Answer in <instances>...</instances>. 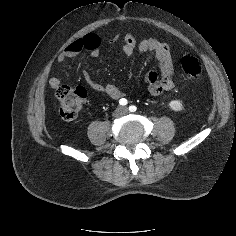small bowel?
<instances>
[{"label":"small bowel","mask_w":236,"mask_h":236,"mask_svg":"<svg viewBox=\"0 0 236 236\" xmlns=\"http://www.w3.org/2000/svg\"><path fill=\"white\" fill-rule=\"evenodd\" d=\"M115 38H111L113 42ZM101 37L94 32L85 34L73 40L66 49L59 55L58 61L63 62L66 59L77 57L83 51L90 52L91 56L98 57L100 53ZM122 51L127 56L136 53L151 52L156 59V68L149 71L145 77V84L149 94L159 96L165 91L174 88L175 66L172 58L170 44L167 41L154 38H146L138 43L132 34H126L122 43ZM83 78L90 89L96 92L105 93L112 99H120L124 93L114 84H102L94 79L88 71L83 73ZM49 85L57 90L61 85V80L57 75H52L49 79Z\"/></svg>","instance_id":"c3829d8e"}]
</instances>
